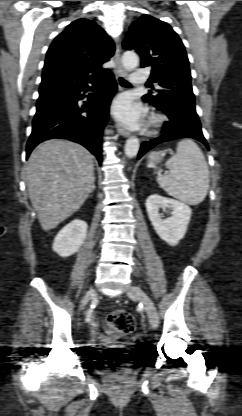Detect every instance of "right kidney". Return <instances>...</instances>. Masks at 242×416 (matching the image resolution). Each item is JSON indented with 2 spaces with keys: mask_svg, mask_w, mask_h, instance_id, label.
I'll use <instances>...</instances> for the list:
<instances>
[{
  "mask_svg": "<svg viewBox=\"0 0 242 416\" xmlns=\"http://www.w3.org/2000/svg\"><path fill=\"white\" fill-rule=\"evenodd\" d=\"M88 225L75 219L62 228L53 242V250L62 257L76 253L85 241Z\"/></svg>",
  "mask_w": 242,
  "mask_h": 416,
  "instance_id": "right-kidney-1",
  "label": "right kidney"
}]
</instances>
